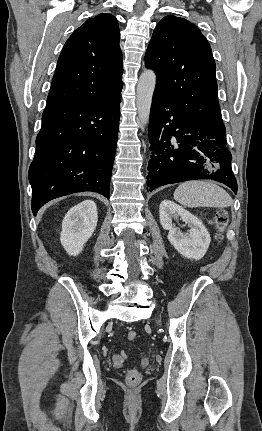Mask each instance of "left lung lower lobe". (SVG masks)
<instances>
[{
  "label": "left lung lower lobe",
  "instance_id": "1",
  "mask_svg": "<svg viewBox=\"0 0 262 431\" xmlns=\"http://www.w3.org/2000/svg\"><path fill=\"white\" fill-rule=\"evenodd\" d=\"M149 141L150 191L172 183L211 179L237 192L225 127L198 126L157 91L150 112Z\"/></svg>",
  "mask_w": 262,
  "mask_h": 431
}]
</instances>
